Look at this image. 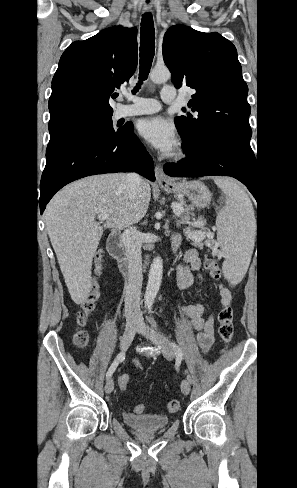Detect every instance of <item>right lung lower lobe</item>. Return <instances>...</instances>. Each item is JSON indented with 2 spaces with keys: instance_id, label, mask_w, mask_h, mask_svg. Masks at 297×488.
Wrapping results in <instances>:
<instances>
[{
  "instance_id": "1",
  "label": "right lung lower lobe",
  "mask_w": 297,
  "mask_h": 488,
  "mask_svg": "<svg viewBox=\"0 0 297 488\" xmlns=\"http://www.w3.org/2000/svg\"><path fill=\"white\" fill-rule=\"evenodd\" d=\"M127 171L155 180L152 158L133 128L107 138L72 143L46 160L40 182V213L58 190L74 180Z\"/></svg>"
}]
</instances>
